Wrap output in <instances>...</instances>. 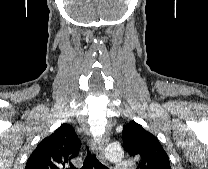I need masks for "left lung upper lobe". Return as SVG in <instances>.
<instances>
[{"instance_id":"obj_1","label":"left lung upper lobe","mask_w":208,"mask_h":169,"mask_svg":"<svg viewBox=\"0 0 208 169\" xmlns=\"http://www.w3.org/2000/svg\"><path fill=\"white\" fill-rule=\"evenodd\" d=\"M123 147L136 159L137 169H171L158 139L134 121L123 126Z\"/></svg>"}]
</instances>
